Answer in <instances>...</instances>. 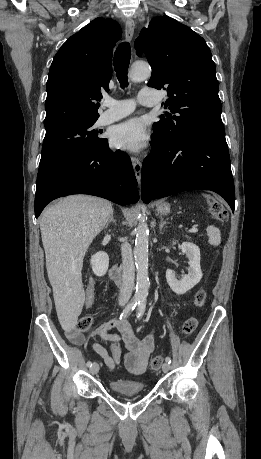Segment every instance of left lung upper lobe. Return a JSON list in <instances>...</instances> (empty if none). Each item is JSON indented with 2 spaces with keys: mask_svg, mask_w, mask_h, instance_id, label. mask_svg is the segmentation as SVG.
<instances>
[{
  "mask_svg": "<svg viewBox=\"0 0 261 459\" xmlns=\"http://www.w3.org/2000/svg\"><path fill=\"white\" fill-rule=\"evenodd\" d=\"M135 47L152 67L148 86L168 92L170 113L154 132L178 142L200 133L224 132L216 67L205 40L169 16L153 18ZM140 55V53H138Z\"/></svg>",
  "mask_w": 261,
  "mask_h": 459,
  "instance_id": "1",
  "label": "left lung upper lobe"
}]
</instances>
